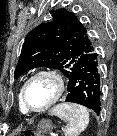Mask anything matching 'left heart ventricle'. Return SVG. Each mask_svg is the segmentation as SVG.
<instances>
[{"instance_id":"left-heart-ventricle-1","label":"left heart ventricle","mask_w":117,"mask_h":136,"mask_svg":"<svg viewBox=\"0 0 117 136\" xmlns=\"http://www.w3.org/2000/svg\"><path fill=\"white\" fill-rule=\"evenodd\" d=\"M54 81L46 76H41L31 81L27 87L26 99L33 109H41L46 106L55 95Z\"/></svg>"}]
</instances>
